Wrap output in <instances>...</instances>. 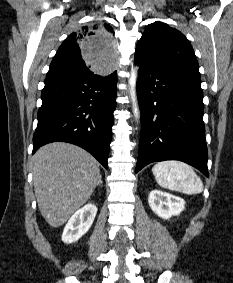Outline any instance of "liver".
Instances as JSON below:
<instances>
[{
	"instance_id": "1",
	"label": "liver",
	"mask_w": 233,
	"mask_h": 283,
	"mask_svg": "<svg viewBox=\"0 0 233 283\" xmlns=\"http://www.w3.org/2000/svg\"><path fill=\"white\" fill-rule=\"evenodd\" d=\"M32 173L40 213L57 228L90 198L99 184L100 168L84 149L54 142L34 154Z\"/></svg>"
}]
</instances>
